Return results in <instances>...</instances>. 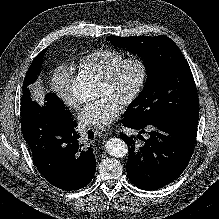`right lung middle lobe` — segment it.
<instances>
[{
	"mask_svg": "<svg viewBox=\"0 0 219 219\" xmlns=\"http://www.w3.org/2000/svg\"><path fill=\"white\" fill-rule=\"evenodd\" d=\"M46 51L47 48L41 51L32 61L23 82V90L26 89L29 84L37 80L42 65V57L44 56ZM45 100V105H47L48 107L56 109L62 114L70 115L69 111L65 108V105L54 93H48Z\"/></svg>",
	"mask_w": 219,
	"mask_h": 219,
	"instance_id": "dd1d6c3e",
	"label": "right lung middle lobe"
}]
</instances>
